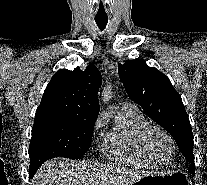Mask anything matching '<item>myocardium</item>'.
Listing matches in <instances>:
<instances>
[{
    "label": "myocardium",
    "mask_w": 207,
    "mask_h": 185,
    "mask_svg": "<svg viewBox=\"0 0 207 185\" xmlns=\"http://www.w3.org/2000/svg\"><path fill=\"white\" fill-rule=\"evenodd\" d=\"M155 133H159V134L163 135L165 138H167L171 142V144L173 146V154H172L171 158H169V159L162 158L154 149L153 144H152V136ZM142 142H143V145H144L146 151L158 162L169 163L174 159V157L176 155L177 145H176L174 138L171 136V134L167 130H165L164 128H162L160 126L150 125L143 133Z\"/></svg>",
    "instance_id": "myocardium-1"
}]
</instances>
